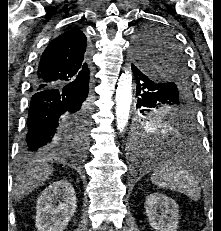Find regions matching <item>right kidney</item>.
<instances>
[{
	"mask_svg": "<svg viewBox=\"0 0 221 231\" xmlns=\"http://www.w3.org/2000/svg\"><path fill=\"white\" fill-rule=\"evenodd\" d=\"M76 208V195L71 183L64 179L51 183L37 200V230L64 231Z\"/></svg>",
	"mask_w": 221,
	"mask_h": 231,
	"instance_id": "right-kidney-1",
	"label": "right kidney"
}]
</instances>
